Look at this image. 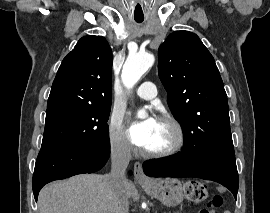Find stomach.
I'll return each instance as SVG.
<instances>
[{
	"label": "stomach",
	"mask_w": 270,
	"mask_h": 213,
	"mask_svg": "<svg viewBox=\"0 0 270 213\" xmlns=\"http://www.w3.org/2000/svg\"><path fill=\"white\" fill-rule=\"evenodd\" d=\"M142 187L166 206H176L184 197L182 182L176 178L156 179Z\"/></svg>",
	"instance_id": "stomach-1"
}]
</instances>
